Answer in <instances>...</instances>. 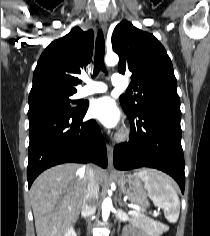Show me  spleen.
I'll return each mask as SVG.
<instances>
[{
	"instance_id": "3e777b00",
	"label": "spleen",
	"mask_w": 210,
	"mask_h": 236,
	"mask_svg": "<svg viewBox=\"0 0 210 236\" xmlns=\"http://www.w3.org/2000/svg\"><path fill=\"white\" fill-rule=\"evenodd\" d=\"M134 174L144 181L149 197L156 206L164 210L166 219L170 223H176L180 213V200L168 177L152 169H143Z\"/></svg>"
}]
</instances>
